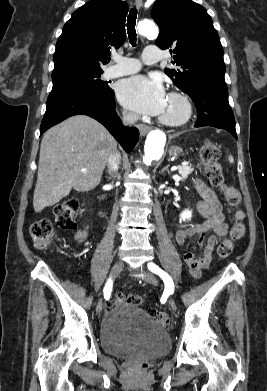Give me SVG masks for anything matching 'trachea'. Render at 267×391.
Here are the masks:
<instances>
[{"instance_id":"3493384b","label":"trachea","mask_w":267,"mask_h":391,"mask_svg":"<svg viewBox=\"0 0 267 391\" xmlns=\"http://www.w3.org/2000/svg\"><path fill=\"white\" fill-rule=\"evenodd\" d=\"M136 18H137V9L134 7L130 10L128 18H127V34L129 37L130 44L132 47L136 46V41H137V34H136Z\"/></svg>"}]
</instances>
